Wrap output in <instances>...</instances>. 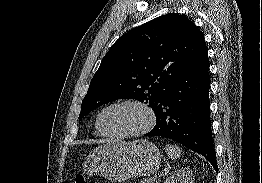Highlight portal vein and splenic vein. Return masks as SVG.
Wrapping results in <instances>:
<instances>
[{
    "label": "portal vein and splenic vein",
    "instance_id": "18ae733b",
    "mask_svg": "<svg viewBox=\"0 0 262 183\" xmlns=\"http://www.w3.org/2000/svg\"><path fill=\"white\" fill-rule=\"evenodd\" d=\"M153 181H155V179H151V182L153 183Z\"/></svg>",
    "mask_w": 262,
    "mask_h": 183
}]
</instances>
